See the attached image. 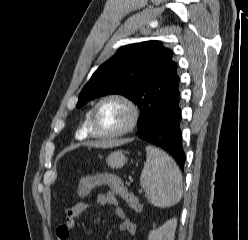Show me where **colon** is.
Listing matches in <instances>:
<instances>
[{"instance_id":"obj_1","label":"colon","mask_w":248,"mask_h":240,"mask_svg":"<svg viewBox=\"0 0 248 240\" xmlns=\"http://www.w3.org/2000/svg\"><path fill=\"white\" fill-rule=\"evenodd\" d=\"M105 184L112 191L123 199L135 211L141 210V204L137 197L130 192L123 182L115 175L107 172H99L84 177L78 186V193L81 197H85L88 193L98 185Z\"/></svg>"}]
</instances>
